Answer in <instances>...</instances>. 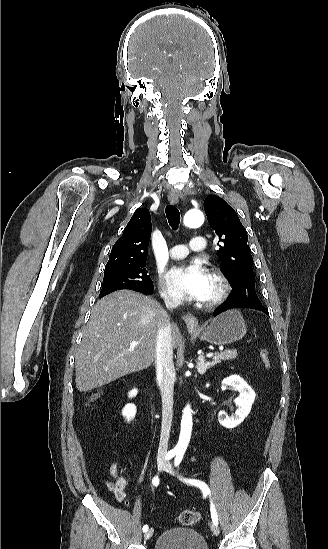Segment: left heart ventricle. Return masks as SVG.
Returning <instances> with one entry per match:
<instances>
[{"label": "left heart ventricle", "instance_id": "b2bd125f", "mask_svg": "<svg viewBox=\"0 0 328 549\" xmlns=\"http://www.w3.org/2000/svg\"><path fill=\"white\" fill-rule=\"evenodd\" d=\"M202 267H203L204 269L208 270V269H207L208 267H207L206 265H203ZM217 290H218V285H217V283L215 282V280L211 277V282H210L209 290H208L207 296H206V298H205L204 300H208V299L212 298V297L216 294Z\"/></svg>", "mask_w": 328, "mask_h": 549}]
</instances>
